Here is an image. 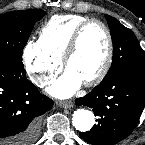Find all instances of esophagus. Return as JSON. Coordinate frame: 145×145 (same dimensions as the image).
<instances>
[{
    "instance_id": "1",
    "label": "esophagus",
    "mask_w": 145,
    "mask_h": 145,
    "mask_svg": "<svg viewBox=\"0 0 145 145\" xmlns=\"http://www.w3.org/2000/svg\"><path fill=\"white\" fill-rule=\"evenodd\" d=\"M60 106L64 107V108H71L74 106L73 101H61L60 102Z\"/></svg>"
}]
</instances>
